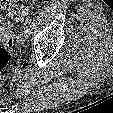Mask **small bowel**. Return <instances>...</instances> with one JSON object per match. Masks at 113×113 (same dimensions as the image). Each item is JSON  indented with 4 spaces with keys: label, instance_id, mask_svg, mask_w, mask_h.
Masks as SVG:
<instances>
[{
    "label": "small bowel",
    "instance_id": "c3829d8e",
    "mask_svg": "<svg viewBox=\"0 0 113 113\" xmlns=\"http://www.w3.org/2000/svg\"><path fill=\"white\" fill-rule=\"evenodd\" d=\"M8 23L9 22L4 17L0 16V41L3 40L1 35H2L3 31H4V29L8 27Z\"/></svg>",
    "mask_w": 113,
    "mask_h": 113
}]
</instances>
